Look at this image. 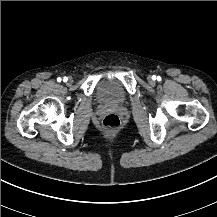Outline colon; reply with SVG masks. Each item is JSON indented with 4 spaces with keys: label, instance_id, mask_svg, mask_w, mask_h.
Instances as JSON below:
<instances>
[{
    "label": "colon",
    "instance_id": "5ec220e1",
    "mask_svg": "<svg viewBox=\"0 0 217 217\" xmlns=\"http://www.w3.org/2000/svg\"><path fill=\"white\" fill-rule=\"evenodd\" d=\"M103 126L109 131H116L120 127V119L115 113H109L103 120Z\"/></svg>",
    "mask_w": 217,
    "mask_h": 217
}]
</instances>
